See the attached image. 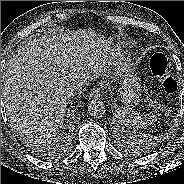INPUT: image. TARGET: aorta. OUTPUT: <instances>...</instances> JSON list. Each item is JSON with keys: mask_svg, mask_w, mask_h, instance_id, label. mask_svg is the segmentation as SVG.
Listing matches in <instances>:
<instances>
[{"mask_svg": "<svg viewBox=\"0 0 184 184\" xmlns=\"http://www.w3.org/2000/svg\"><path fill=\"white\" fill-rule=\"evenodd\" d=\"M88 111L93 118H101L105 114L106 108L102 101L92 100L88 106Z\"/></svg>", "mask_w": 184, "mask_h": 184, "instance_id": "1", "label": "aorta"}]
</instances>
